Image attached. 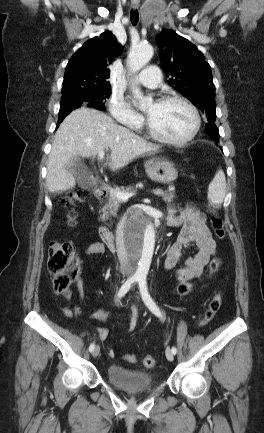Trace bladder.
<instances>
[{
  "label": "bladder",
  "instance_id": "obj_1",
  "mask_svg": "<svg viewBox=\"0 0 264 433\" xmlns=\"http://www.w3.org/2000/svg\"><path fill=\"white\" fill-rule=\"evenodd\" d=\"M106 375L112 385L125 391L148 392L154 387L153 377L149 372L110 365Z\"/></svg>",
  "mask_w": 264,
  "mask_h": 433
}]
</instances>
